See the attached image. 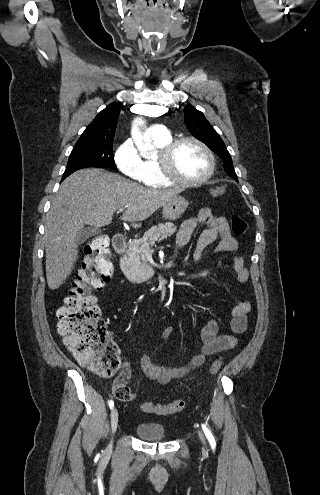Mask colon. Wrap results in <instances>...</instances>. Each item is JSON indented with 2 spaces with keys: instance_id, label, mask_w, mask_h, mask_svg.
<instances>
[{
  "instance_id": "colon-1",
  "label": "colon",
  "mask_w": 320,
  "mask_h": 495,
  "mask_svg": "<svg viewBox=\"0 0 320 495\" xmlns=\"http://www.w3.org/2000/svg\"><path fill=\"white\" fill-rule=\"evenodd\" d=\"M224 192L223 186L213 189L216 196ZM231 225L236 235L246 231V222L237 215L232 216ZM84 252L86 258L83 269L79 271L65 305L57 312V329L66 347L81 363L101 376L110 377L120 367L119 350L107 339L106 324L96 299L89 294L91 289H102L112 275L107 239L103 236L95 238L85 247ZM221 367L222 360H214L210 367L211 374L218 373ZM128 382L129 377L121 373L114 380V395L120 401H132L135 397ZM184 407L182 399L168 404L145 402L141 405L144 412L158 415L176 414Z\"/></svg>"
}]
</instances>
